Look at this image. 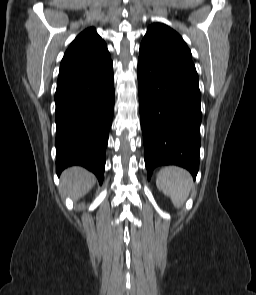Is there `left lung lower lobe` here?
I'll return each mask as SVG.
<instances>
[{"label":"left lung lower lobe","instance_id":"0a47b994","mask_svg":"<svg viewBox=\"0 0 256 295\" xmlns=\"http://www.w3.org/2000/svg\"><path fill=\"white\" fill-rule=\"evenodd\" d=\"M139 110L148 179L160 165L199 170L201 95L138 64Z\"/></svg>","mask_w":256,"mask_h":295}]
</instances>
